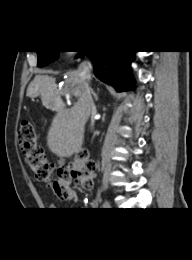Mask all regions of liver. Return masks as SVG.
<instances>
[{
  "instance_id": "obj_1",
  "label": "liver",
  "mask_w": 192,
  "mask_h": 260,
  "mask_svg": "<svg viewBox=\"0 0 192 260\" xmlns=\"http://www.w3.org/2000/svg\"><path fill=\"white\" fill-rule=\"evenodd\" d=\"M64 92L79 97L78 102L69 110H58L47 134V145L52 153L59 157H70L81 151L85 125L91 113L85 89L78 71H69L65 75ZM42 95L44 101H59V92L55 79L48 75H36L30 83L27 95Z\"/></svg>"
}]
</instances>
